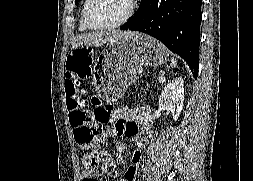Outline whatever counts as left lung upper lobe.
Instances as JSON below:
<instances>
[{
	"label": "left lung upper lobe",
	"mask_w": 253,
	"mask_h": 181,
	"mask_svg": "<svg viewBox=\"0 0 253 181\" xmlns=\"http://www.w3.org/2000/svg\"><path fill=\"white\" fill-rule=\"evenodd\" d=\"M79 0H75V3H77Z\"/></svg>",
	"instance_id": "5c2ea615"
}]
</instances>
